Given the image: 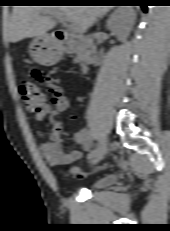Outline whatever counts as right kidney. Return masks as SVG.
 Returning a JSON list of instances; mask_svg holds the SVG:
<instances>
[{
  "label": "right kidney",
  "instance_id": "right-kidney-1",
  "mask_svg": "<svg viewBox=\"0 0 170 231\" xmlns=\"http://www.w3.org/2000/svg\"><path fill=\"white\" fill-rule=\"evenodd\" d=\"M135 17L136 14L131 7H120L107 20V28L120 41H125L133 28Z\"/></svg>",
  "mask_w": 170,
  "mask_h": 231
}]
</instances>
